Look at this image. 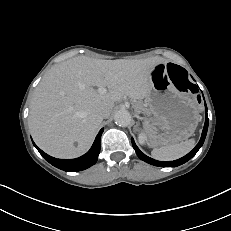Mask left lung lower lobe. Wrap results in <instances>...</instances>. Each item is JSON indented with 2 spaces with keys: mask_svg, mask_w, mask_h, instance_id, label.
<instances>
[{
  "mask_svg": "<svg viewBox=\"0 0 231 231\" xmlns=\"http://www.w3.org/2000/svg\"><path fill=\"white\" fill-rule=\"evenodd\" d=\"M207 130H208V115H207V106H206V103H205V124H204V128H203V131H202L201 139H200L199 143L195 146V148L190 153H188L186 156H184V157H182V158H180L178 160H175V161H168V162L157 161L155 159H152V158L146 156L144 153H142L139 150V148L136 146L133 138H131V141H132L133 148L136 151V154L138 155V157L141 160H143V161H145V162H147V163H149L151 165H154V166L176 167V166L182 165L185 162H187L188 160H190L198 152V150L201 148V146L204 143V140H205V137H206V134H207Z\"/></svg>",
  "mask_w": 231,
  "mask_h": 231,
  "instance_id": "1",
  "label": "left lung lower lobe"
}]
</instances>
